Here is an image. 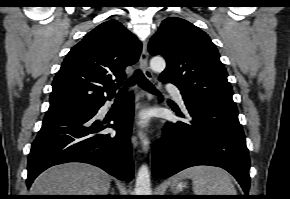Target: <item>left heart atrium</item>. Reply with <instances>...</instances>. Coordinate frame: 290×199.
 Masks as SVG:
<instances>
[{"label": "left heart atrium", "instance_id": "1", "mask_svg": "<svg viewBox=\"0 0 290 199\" xmlns=\"http://www.w3.org/2000/svg\"><path fill=\"white\" fill-rule=\"evenodd\" d=\"M148 121V115L147 114H142L140 117V123L141 124H146Z\"/></svg>", "mask_w": 290, "mask_h": 199}]
</instances>
